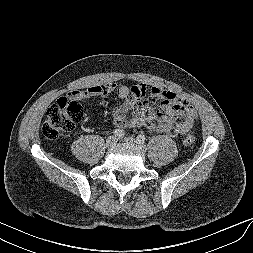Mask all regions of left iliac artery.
I'll return each mask as SVG.
<instances>
[{"mask_svg":"<svg viewBox=\"0 0 253 253\" xmlns=\"http://www.w3.org/2000/svg\"><path fill=\"white\" fill-rule=\"evenodd\" d=\"M137 141H138L139 143H141V144H144L145 141H146V138H145L144 135L140 134V135L137 136Z\"/></svg>","mask_w":253,"mask_h":253,"instance_id":"1","label":"left iliac artery"}]
</instances>
